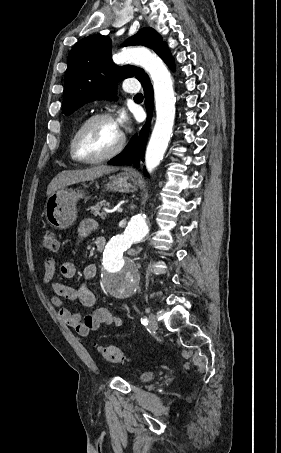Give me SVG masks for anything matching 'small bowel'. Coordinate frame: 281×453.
<instances>
[{
	"label": "small bowel",
	"mask_w": 281,
	"mask_h": 453,
	"mask_svg": "<svg viewBox=\"0 0 281 453\" xmlns=\"http://www.w3.org/2000/svg\"><path fill=\"white\" fill-rule=\"evenodd\" d=\"M96 229L97 222L95 220H82L78 229L79 242L82 243L87 236L95 232ZM95 250L97 252H102L104 250L102 240L97 241ZM54 266L55 262L52 258L45 260L40 269V281L43 285L54 290L58 294V296H53L51 298L52 305L58 309L61 319L73 328L79 336H89V334L96 331L102 323L111 326L122 325V318L107 309H96L82 320L79 312L64 306L63 298L71 302H79L86 307L93 305L95 297L87 283L95 277L97 265L94 262H91L84 267L82 272L83 282L79 288L57 282L55 280ZM60 273L64 278H75L77 276V268L73 262H64L60 267Z\"/></svg>",
	"instance_id": "c3829d8e"
}]
</instances>
